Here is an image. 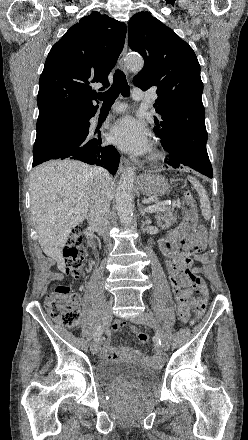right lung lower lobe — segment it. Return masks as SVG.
<instances>
[{"label":"right lung lower lobe","instance_id":"right-lung-lower-lobe-1","mask_svg":"<svg viewBox=\"0 0 248 440\" xmlns=\"http://www.w3.org/2000/svg\"><path fill=\"white\" fill-rule=\"evenodd\" d=\"M96 111L74 114L37 130L32 167L51 159H76L115 174L119 154L114 146H101L103 138L89 135V120Z\"/></svg>","mask_w":248,"mask_h":440}]
</instances>
